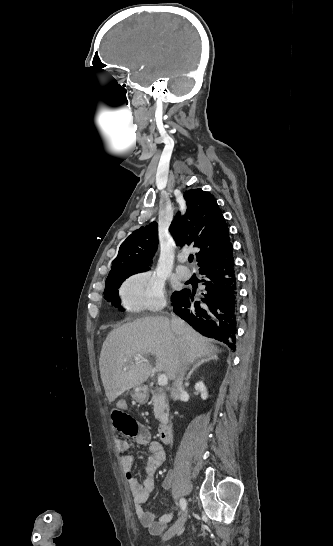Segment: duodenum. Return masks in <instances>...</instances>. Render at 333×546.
<instances>
[{
    "label": "duodenum",
    "instance_id": "obj_1",
    "mask_svg": "<svg viewBox=\"0 0 333 546\" xmlns=\"http://www.w3.org/2000/svg\"><path fill=\"white\" fill-rule=\"evenodd\" d=\"M174 428L169 419H166L158 430V437L163 443H170L173 440Z\"/></svg>",
    "mask_w": 333,
    "mask_h": 546
}]
</instances>
